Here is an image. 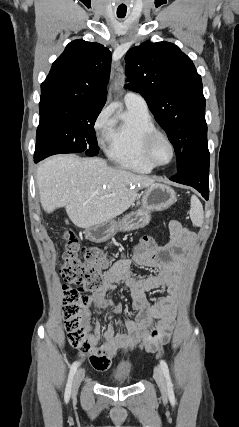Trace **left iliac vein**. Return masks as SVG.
Masks as SVG:
<instances>
[{
	"instance_id": "obj_1",
	"label": "left iliac vein",
	"mask_w": 239,
	"mask_h": 427,
	"mask_svg": "<svg viewBox=\"0 0 239 427\" xmlns=\"http://www.w3.org/2000/svg\"><path fill=\"white\" fill-rule=\"evenodd\" d=\"M154 379L161 391V393L166 396L167 395V389H166V383H165V379L162 373V370L160 367H155L154 369Z\"/></svg>"
}]
</instances>
